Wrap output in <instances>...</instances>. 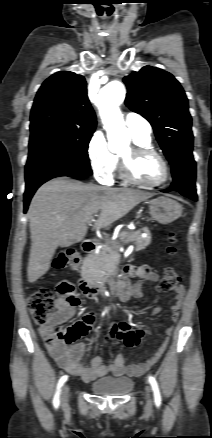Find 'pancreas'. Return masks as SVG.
I'll return each mask as SVG.
<instances>
[{
    "label": "pancreas",
    "instance_id": "pancreas-1",
    "mask_svg": "<svg viewBox=\"0 0 212 438\" xmlns=\"http://www.w3.org/2000/svg\"><path fill=\"white\" fill-rule=\"evenodd\" d=\"M143 230L147 233V237L145 238L141 236L140 231H134L124 233L122 239L125 243L133 242L135 244V250L141 251L151 243L149 230L147 228H144ZM119 259V243L107 242L98 253H93L86 258L87 265L85 271L88 273V270L94 267L111 271L116 267Z\"/></svg>",
    "mask_w": 212,
    "mask_h": 438
}]
</instances>
